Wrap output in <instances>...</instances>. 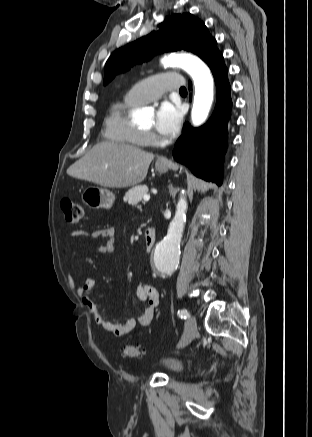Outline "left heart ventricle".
Listing matches in <instances>:
<instances>
[{
  "label": "left heart ventricle",
  "instance_id": "obj_1",
  "mask_svg": "<svg viewBox=\"0 0 312 437\" xmlns=\"http://www.w3.org/2000/svg\"><path fill=\"white\" fill-rule=\"evenodd\" d=\"M153 125V120L150 122V124L148 125V127H151Z\"/></svg>",
  "mask_w": 312,
  "mask_h": 437
}]
</instances>
